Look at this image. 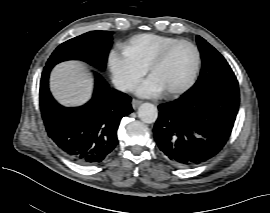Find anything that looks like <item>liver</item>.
<instances>
[{"label":"liver","mask_w":270,"mask_h":213,"mask_svg":"<svg viewBox=\"0 0 270 213\" xmlns=\"http://www.w3.org/2000/svg\"><path fill=\"white\" fill-rule=\"evenodd\" d=\"M92 85V78L83 64L76 61L57 65L50 78L53 95L66 106H79L87 102L91 97Z\"/></svg>","instance_id":"1"}]
</instances>
